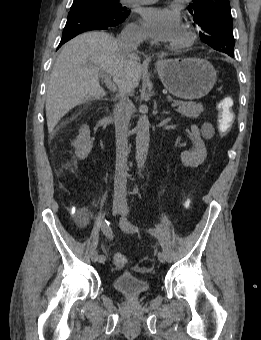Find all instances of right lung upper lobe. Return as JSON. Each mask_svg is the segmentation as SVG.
I'll use <instances>...</instances> for the list:
<instances>
[{"label": "right lung upper lobe", "instance_id": "cb5924a9", "mask_svg": "<svg viewBox=\"0 0 261 340\" xmlns=\"http://www.w3.org/2000/svg\"><path fill=\"white\" fill-rule=\"evenodd\" d=\"M83 1H91V0H74L73 3H75V2H83Z\"/></svg>", "mask_w": 261, "mask_h": 340}]
</instances>
